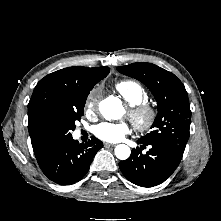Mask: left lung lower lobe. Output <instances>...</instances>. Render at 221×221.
<instances>
[{"label": "left lung lower lobe", "instance_id": "obj_1", "mask_svg": "<svg viewBox=\"0 0 221 221\" xmlns=\"http://www.w3.org/2000/svg\"><path fill=\"white\" fill-rule=\"evenodd\" d=\"M138 143L150 145L151 149L146 154H142L139 148L133 149L130 157L119 163V168L130 182L141 187H153L164 182L183 157L182 151L167 145L141 140Z\"/></svg>", "mask_w": 221, "mask_h": 221}]
</instances>
